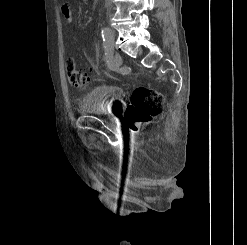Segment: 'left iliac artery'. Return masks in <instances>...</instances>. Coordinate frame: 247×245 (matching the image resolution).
I'll return each instance as SVG.
<instances>
[{
    "label": "left iliac artery",
    "instance_id": "left-iliac-artery-1",
    "mask_svg": "<svg viewBox=\"0 0 247 245\" xmlns=\"http://www.w3.org/2000/svg\"><path fill=\"white\" fill-rule=\"evenodd\" d=\"M101 36L104 42L106 58H113L115 45V34L114 31H110L108 28L101 29Z\"/></svg>",
    "mask_w": 247,
    "mask_h": 245
}]
</instances>
